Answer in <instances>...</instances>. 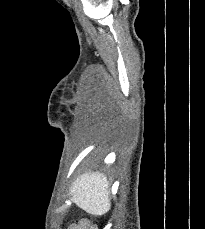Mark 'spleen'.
Masks as SVG:
<instances>
[{"label": "spleen", "instance_id": "spleen-1", "mask_svg": "<svg viewBox=\"0 0 205 229\" xmlns=\"http://www.w3.org/2000/svg\"><path fill=\"white\" fill-rule=\"evenodd\" d=\"M69 195L73 202L89 214L103 215L110 210L109 182L104 174L88 172L72 184Z\"/></svg>", "mask_w": 205, "mask_h": 229}]
</instances>
